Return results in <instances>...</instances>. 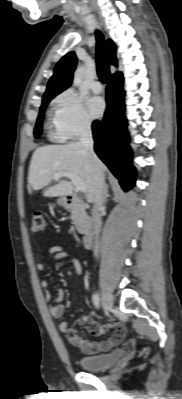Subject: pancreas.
<instances>
[{
	"label": "pancreas",
	"mask_w": 182,
	"mask_h": 399,
	"mask_svg": "<svg viewBox=\"0 0 182 399\" xmlns=\"http://www.w3.org/2000/svg\"><path fill=\"white\" fill-rule=\"evenodd\" d=\"M71 218L77 231L80 234H85L88 227V216L85 213L84 207L74 206L71 211Z\"/></svg>",
	"instance_id": "pancreas-1"
}]
</instances>
